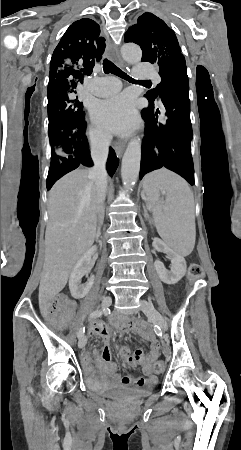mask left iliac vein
<instances>
[{"label":"left iliac vein","instance_id":"4c4485c4","mask_svg":"<svg viewBox=\"0 0 241 450\" xmlns=\"http://www.w3.org/2000/svg\"><path fill=\"white\" fill-rule=\"evenodd\" d=\"M141 310L155 325L160 327L162 330H168V324L166 320L160 315L153 304L146 300H141Z\"/></svg>","mask_w":241,"mask_h":450}]
</instances>
